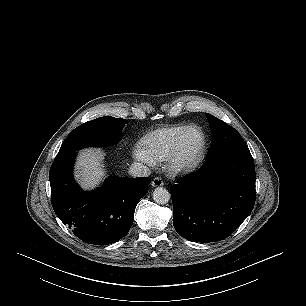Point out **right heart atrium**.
I'll use <instances>...</instances> for the list:
<instances>
[{"label": "right heart atrium", "instance_id": "right-heart-atrium-1", "mask_svg": "<svg viewBox=\"0 0 306 306\" xmlns=\"http://www.w3.org/2000/svg\"><path fill=\"white\" fill-rule=\"evenodd\" d=\"M133 155L138 161L146 165L151 166L154 164L152 157L143 149L140 148L135 149Z\"/></svg>", "mask_w": 306, "mask_h": 306}]
</instances>
